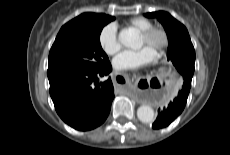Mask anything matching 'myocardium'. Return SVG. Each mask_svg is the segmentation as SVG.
Instances as JSON below:
<instances>
[{
  "label": "myocardium",
  "instance_id": "1",
  "mask_svg": "<svg viewBox=\"0 0 230 155\" xmlns=\"http://www.w3.org/2000/svg\"><path fill=\"white\" fill-rule=\"evenodd\" d=\"M155 35H159L161 37V43L155 53V56L159 58L166 52L170 44V37L167 30L161 26H152L140 32V36L146 41H150Z\"/></svg>",
  "mask_w": 230,
  "mask_h": 155
}]
</instances>
